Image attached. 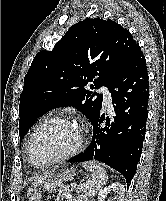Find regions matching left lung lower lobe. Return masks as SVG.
<instances>
[{"label":"left lung lower lobe","instance_id":"0a47b994","mask_svg":"<svg viewBox=\"0 0 166 201\" xmlns=\"http://www.w3.org/2000/svg\"><path fill=\"white\" fill-rule=\"evenodd\" d=\"M108 89L116 116L112 120L107 117L106 126L101 127L105 118L100 109L91 120V144L69 162L101 161L120 172L129 186L142 151L148 117V74L139 45Z\"/></svg>","mask_w":166,"mask_h":201}]
</instances>
